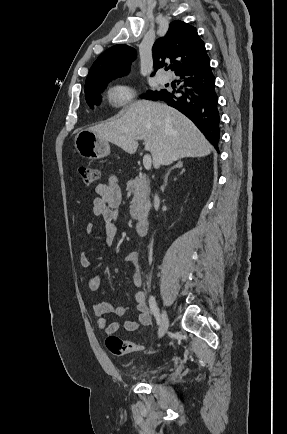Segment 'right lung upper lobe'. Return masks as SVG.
Masks as SVG:
<instances>
[{
	"label": "right lung upper lobe",
	"instance_id": "obj_1",
	"mask_svg": "<svg viewBox=\"0 0 287 434\" xmlns=\"http://www.w3.org/2000/svg\"><path fill=\"white\" fill-rule=\"evenodd\" d=\"M152 51L155 71L169 58L171 70L176 74L203 53L205 45L195 27L175 20L170 23L167 34L156 40ZM135 57V49L128 45L119 44L107 49L93 63L85 85L128 74Z\"/></svg>",
	"mask_w": 287,
	"mask_h": 434
}]
</instances>
